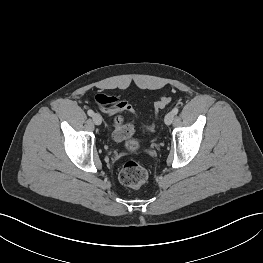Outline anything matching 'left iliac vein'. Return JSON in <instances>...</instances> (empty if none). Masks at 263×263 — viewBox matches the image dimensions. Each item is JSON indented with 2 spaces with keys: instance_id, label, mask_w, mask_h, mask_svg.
Instances as JSON below:
<instances>
[{
  "instance_id": "1",
  "label": "left iliac vein",
  "mask_w": 263,
  "mask_h": 263,
  "mask_svg": "<svg viewBox=\"0 0 263 263\" xmlns=\"http://www.w3.org/2000/svg\"><path fill=\"white\" fill-rule=\"evenodd\" d=\"M174 120V114L172 112H169L165 115V124L166 125H170Z\"/></svg>"
}]
</instances>
